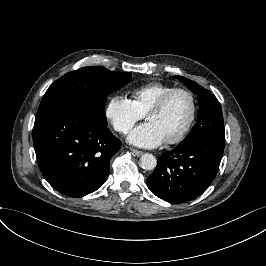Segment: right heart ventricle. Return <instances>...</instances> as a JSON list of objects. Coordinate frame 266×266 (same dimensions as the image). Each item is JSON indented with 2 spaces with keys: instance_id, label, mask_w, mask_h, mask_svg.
Masks as SVG:
<instances>
[{
  "instance_id": "obj_1",
  "label": "right heart ventricle",
  "mask_w": 266,
  "mask_h": 266,
  "mask_svg": "<svg viewBox=\"0 0 266 266\" xmlns=\"http://www.w3.org/2000/svg\"><path fill=\"white\" fill-rule=\"evenodd\" d=\"M174 88L173 85L161 82H151L134 88L131 92V100L136 109L144 115L165 92Z\"/></svg>"
}]
</instances>
